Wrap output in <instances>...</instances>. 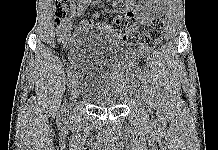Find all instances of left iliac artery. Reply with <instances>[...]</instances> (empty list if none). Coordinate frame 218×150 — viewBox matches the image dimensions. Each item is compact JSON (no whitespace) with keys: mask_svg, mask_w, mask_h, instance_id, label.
I'll use <instances>...</instances> for the list:
<instances>
[{"mask_svg":"<svg viewBox=\"0 0 218 150\" xmlns=\"http://www.w3.org/2000/svg\"><path fill=\"white\" fill-rule=\"evenodd\" d=\"M142 79H141V81H142V83H144V77L142 76L143 75V72L142 71H139L138 73H137Z\"/></svg>","mask_w":218,"mask_h":150,"instance_id":"1","label":"left iliac artery"}]
</instances>
